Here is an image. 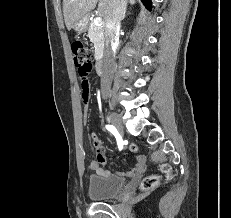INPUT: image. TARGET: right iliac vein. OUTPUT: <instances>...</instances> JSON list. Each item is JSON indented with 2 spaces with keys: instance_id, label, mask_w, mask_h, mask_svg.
<instances>
[{
  "instance_id": "right-iliac-vein-1",
  "label": "right iliac vein",
  "mask_w": 231,
  "mask_h": 218,
  "mask_svg": "<svg viewBox=\"0 0 231 218\" xmlns=\"http://www.w3.org/2000/svg\"><path fill=\"white\" fill-rule=\"evenodd\" d=\"M109 117H110L112 124L115 126L116 130L118 131V133L122 136L123 135V126H122V123H121V120H120L118 114L111 111Z\"/></svg>"
}]
</instances>
